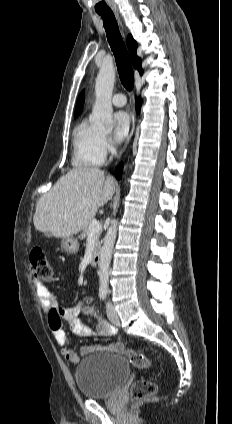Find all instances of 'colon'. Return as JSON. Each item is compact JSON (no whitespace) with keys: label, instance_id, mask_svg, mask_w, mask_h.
Wrapping results in <instances>:
<instances>
[{"label":"colon","instance_id":"obj_1","mask_svg":"<svg viewBox=\"0 0 232 424\" xmlns=\"http://www.w3.org/2000/svg\"><path fill=\"white\" fill-rule=\"evenodd\" d=\"M30 264L33 276L41 281H50L54 277V269L41 249H34L30 253ZM126 354L130 362L139 369H148L152 366V362L142 353L127 350ZM157 385L152 380H138L130 389V397L133 400H141L150 398L155 395Z\"/></svg>","mask_w":232,"mask_h":424}]
</instances>
